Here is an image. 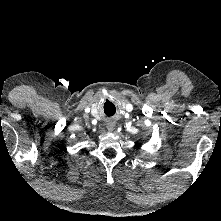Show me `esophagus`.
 Wrapping results in <instances>:
<instances>
[{"label": "esophagus", "mask_w": 221, "mask_h": 221, "mask_svg": "<svg viewBox=\"0 0 221 221\" xmlns=\"http://www.w3.org/2000/svg\"><path fill=\"white\" fill-rule=\"evenodd\" d=\"M115 124L113 122H108L107 123V129L109 131H112L114 129Z\"/></svg>", "instance_id": "34e87169"}]
</instances>
